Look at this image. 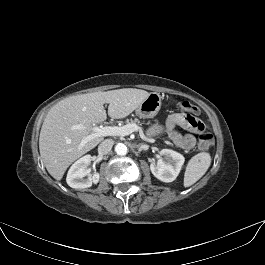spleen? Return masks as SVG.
I'll return each instance as SVG.
<instances>
[{
    "label": "spleen",
    "instance_id": "3e777b00",
    "mask_svg": "<svg viewBox=\"0 0 265 265\" xmlns=\"http://www.w3.org/2000/svg\"><path fill=\"white\" fill-rule=\"evenodd\" d=\"M211 164V156L207 152L193 156L187 164L184 174V186L189 187L196 183L208 170Z\"/></svg>",
    "mask_w": 265,
    "mask_h": 265
}]
</instances>
